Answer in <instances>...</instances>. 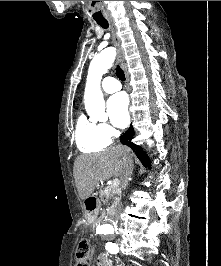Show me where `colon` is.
I'll use <instances>...</instances> for the list:
<instances>
[{"label": "colon", "mask_w": 221, "mask_h": 266, "mask_svg": "<svg viewBox=\"0 0 221 266\" xmlns=\"http://www.w3.org/2000/svg\"><path fill=\"white\" fill-rule=\"evenodd\" d=\"M89 244L86 240L79 243L77 250V263L75 266H90L89 263Z\"/></svg>", "instance_id": "1"}]
</instances>
